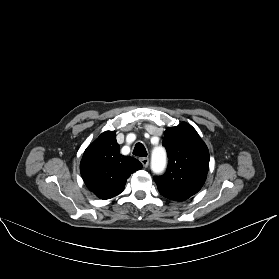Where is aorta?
<instances>
[{"mask_svg":"<svg viewBox=\"0 0 279 279\" xmlns=\"http://www.w3.org/2000/svg\"><path fill=\"white\" fill-rule=\"evenodd\" d=\"M166 166V152L163 147H156L151 155V167L156 173H160Z\"/></svg>","mask_w":279,"mask_h":279,"instance_id":"aorta-1","label":"aorta"}]
</instances>
